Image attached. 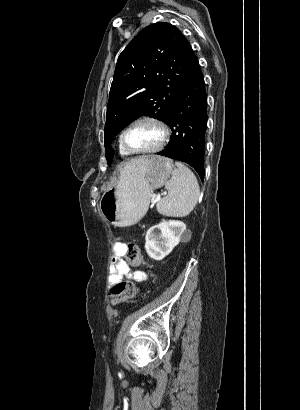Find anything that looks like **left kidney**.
Instances as JSON below:
<instances>
[{"label": "left kidney", "instance_id": "obj_1", "mask_svg": "<svg viewBox=\"0 0 300 410\" xmlns=\"http://www.w3.org/2000/svg\"><path fill=\"white\" fill-rule=\"evenodd\" d=\"M186 224L177 220H163L146 233L145 249L148 256L160 261L169 255L181 240Z\"/></svg>", "mask_w": 300, "mask_h": 410}]
</instances>
